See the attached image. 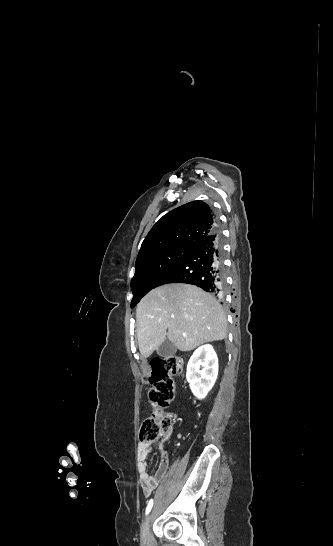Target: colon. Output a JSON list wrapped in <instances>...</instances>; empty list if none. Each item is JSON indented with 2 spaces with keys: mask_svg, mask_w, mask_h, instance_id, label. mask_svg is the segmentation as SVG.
<instances>
[{
  "mask_svg": "<svg viewBox=\"0 0 333 546\" xmlns=\"http://www.w3.org/2000/svg\"><path fill=\"white\" fill-rule=\"evenodd\" d=\"M183 360L177 356H168L152 363L149 391L151 411L141 427V440L153 442L166 438L171 431L173 417L167 412L174 399V376L181 373Z\"/></svg>",
  "mask_w": 333,
  "mask_h": 546,
  "instance_id": "colon-1",
  "label": "colon"
}]
</instances>
